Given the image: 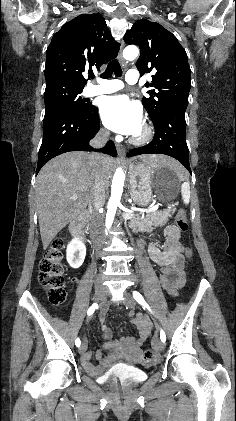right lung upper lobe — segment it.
<instances>
[{
	"mask_svg": "<svg viewBox=\"0 0 236 421\" xmlns=\"http://www.w3.org/2000/svg\"><path fill=\"white\" fill-rule=\"evenodd\" d=\"M119 48L100 14L74 18L55 33L47 49L46 86L83 89L85 68L99 70L117 56Z\"/></svg>",
	"mask_w": 236,
	"mask_h": 421,
	"instance_id": "cb5924a9",
	"label": "right lung upper lobe"
}]
</instances>
